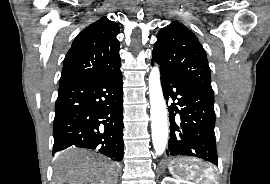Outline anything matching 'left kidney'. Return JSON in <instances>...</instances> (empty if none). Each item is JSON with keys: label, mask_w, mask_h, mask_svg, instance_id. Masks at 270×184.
Returning a JSON list of instances; mask_svg holds the SVG:
<instances>
[{"label": "left kidney", "mask_w": 270, "mask_h": 184, "mask_svg": "<svg viewBox=\"0 0 270 184\" xmlns=\"http://www.w3.org/2000/svg\"><path fill=\"white\" fill-rule=\"evenodd\" d=\"M161 184H193L191 182H187V181H182V180H179V179H174V178H171V177H165Z\"/></svg>", "instance_id": "left-kidney-1"}]
</instances>
